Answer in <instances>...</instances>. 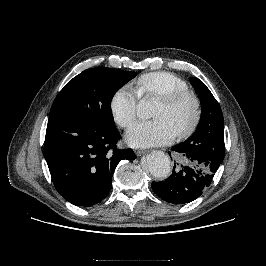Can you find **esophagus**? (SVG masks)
I'll return each instance as SVG.
<instances>
[{"instance_id": "esophagus-1", "label": "esophagus", "mask_w": 266, "mask_h": 266, "mask_svg": "<svg viewBox=\"0 0 266 266\" xmlns=\"http://www.w3.org/2000/svg\"><path fill=\"white\" fill-rule=\"evenodd\" d=\"M144 153H146V151L143 150V149H136V150H135V154H136L137 156H141V155H143Z\"/></svg>"}]
</instances>
